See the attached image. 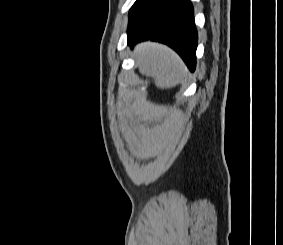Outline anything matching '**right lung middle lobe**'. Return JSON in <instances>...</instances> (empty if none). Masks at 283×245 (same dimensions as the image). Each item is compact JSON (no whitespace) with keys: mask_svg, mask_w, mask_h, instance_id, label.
<instances>
[{"mask_svg":"<svg viewBox=\"0 0 283 245\" xmlns=\"http://www.w3.org/2000/svg\"><path fill=\"white\" fill-rule=\"evenodd\" d=\"M153 0H136L129 12V20L135 17L142 9L147 7Z\"/></svg>","mask_w":283,"mask_h":245,"instance_id":"right-lung-middle-lobe-1","label":"right lung middle lobe"}]
</instances>
